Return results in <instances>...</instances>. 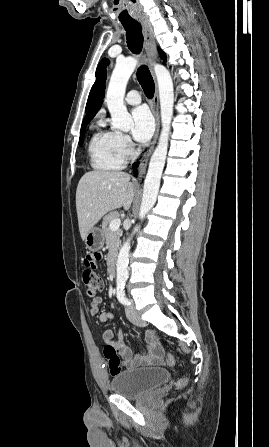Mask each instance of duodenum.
<instances>
[{
    "mask_svg": "<svg viewBox=\"0 0 269 447\" xmlns=\"http://www.w3.org/2000/svg\"><path fill=\"white\" fill-rule=\"evenodd\" d=\"M116 261H117L116 255L113 254L108 263V272L111 277H115L116 275Z\"/></svg>",
    "mask_w": 269,
    "mask_h": 447,
    "instance_id": "duodenum-1",
    "label": "duodenum"
}]
</instances>
